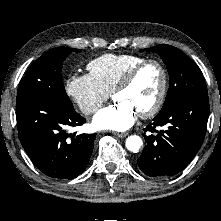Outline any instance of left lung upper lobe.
I'll return each instance as SVG.
<instances>
[{"label":"left lung upper lobe","mask_w":221,"mask_h":221,"mask_svg":"<svg viewBox=\"0 0 221 221\" xmlns=\"http://www.w3.org/2000/svg\"><path fill=\"white\" fill-rule=\"evenodd\" d=\"M145 50L160 55L170 76L167 97L159 114L165 113L187 98L208 94L201 70L181 50L166 44Z\"/></svg>","instance_id":"1"}]
</instances>
